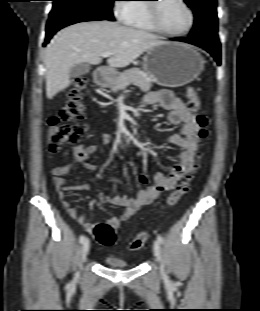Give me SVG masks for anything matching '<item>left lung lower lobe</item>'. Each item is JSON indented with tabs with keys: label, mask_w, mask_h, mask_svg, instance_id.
<instances>
[{
	"label": "left lung lower lobe",
	"mask_w": 260,
	"mask_h": 311,
	"mask_svg": "<svg viewBox=\"0 0 260 311\" xmlns=\"http://www.w3.org/2000/svg\"><path fill=\"white\" fill-rule=\"evenodd\" d=\"M173 40L182 41L186 43H190L196 46H199L205 50H207L217 61V64H221V51H220V43L219 42H213L209 40H203V39H195V38H175Z\"/></svg>",
	"instance_id": "0a47b994"
}]
</instances>
